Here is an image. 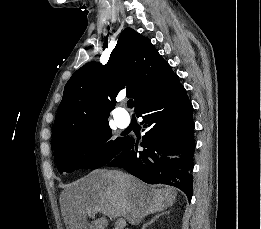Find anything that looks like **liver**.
<instances>
[{"instance_id":"liver-1","label":"liver","mask_w":261,"mask_h":229,"mask_svg":"<svg viewBox=\"0 0 261 229\" xmlns=\"http://www.w3.org/2000/svg\"><path fill=\"white\" fill-rule=\"evenodd\" d=\"M176 197L175 187L149 191L145 183L131 175L96 169L71 183L63 215L67 229H106V217L95 219L96 213L113 219L124 217L130 225H139L147 215L172 207ZM88 217L95 219L92 225H88Z\"/></svg>"}]
</instances>
